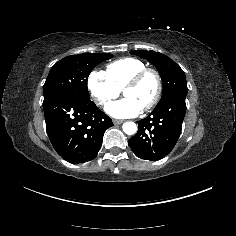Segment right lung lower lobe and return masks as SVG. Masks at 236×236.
<instances>
[{
	"label": "right lung lower lobe",
	"mask_w": 236,
	"mask_h": 236,
	"mask_svg": "<svg viewBox=\"0 0 236 236\" xmlns=\"http://www.w3.org/2000/svg\"><path fill=\"white\" fill-rule=\"evenodd\" d=\"M46 130L56 152L79 164L94 159L112 120L92 101L59 94L43 101Z\"/></svg>",
	"instance_id": "obj_1"
}]
</instances>
